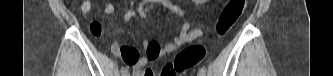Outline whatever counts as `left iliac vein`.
<instances>
[{
    "instance_id": "4c4485c4",
    "label": "left iliac vein",
    "mask_w": 333,
    "mask_h": 76,
    "mask_svg": "<svg viewBox=\"0 0 333 76\" xmlns=\"http://www.w3.org/2000/svg\"><path fill=\"white\" fill-rule=\"evenodd\" d=\"M198 76H205V73L199 72Z\"/></svg>"
}]
</instances>
